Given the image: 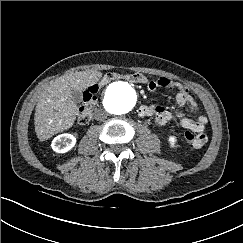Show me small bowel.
<instances>
[{
  "mask_svg": "<svg viewBox=\"0 0 243 243\" xmlns=\"http://www.w3.org/2000/svg\"><path fill=\"white\" fill-rule=\"evenodd\" d=\"M147 88L150 91H155L157 88H163L166 90L176 89L177 104L179 106L187 105L192 112L196 113L198 111V104L196 100L189 93L187 88L180 83H176L168 78L162 77L157 80L150 81L147 84ZM139 115L141 117L154 116L155 122L160 125L166 124L174 119V115L170 111L156 105L142 106L140 108ZM207 122L208 119L204 115H198L196 120L190 118L180 119V125L184 129L196 133L198 140L192 144L193 147L201 148L207 142V136L204 133Z\"/></svg>",
  "mask_w": 243,
  "mask_h": 243,
  "instance_id": "small-bowel-1",
  "label": "small bowel"
}]
</instances>
